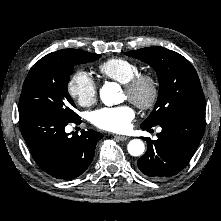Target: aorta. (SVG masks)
<instances>
[{
    "label": "aorta",
    "mask_w": 221,
    "mask_h": 221,
    "mask_svg": "<svg viewBox=\"0 0 221 221\" xmlns=\"http://www.w3.org/2000/svg\"><path fill=\"white\" fill-rule=\"evenodd\" d=\"M120 91L118 84L108 82L100 89V98L107 106H112L117 103V97ZM128 152L132 156H140L144 153L145 145L141 139H133L128 143Z\"/></svg>",
    "instance_id": "aorta-1"
}]
</instances>
